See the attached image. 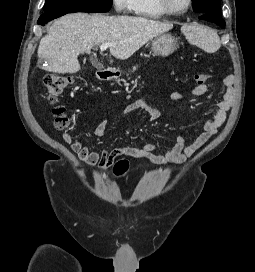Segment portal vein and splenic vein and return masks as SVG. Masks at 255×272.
<instances>
[{
    "label": "portal vein and splenic vein",
    "instance_id": "portal-vein-and-splenic-vein-1",
    "mask_svg": "<svg viewBox=\"0 0 255 272\" xmlns=\"http://www.w3.org/2000/svg\"><path fill=\"white\" fill-rule=\"evenodd\" d=\"M111 46H113L112 43H102V44L100 45V50H101V51H105L107 48H109V47H111Z\"/></svg>",
    "mask_w": 255,
    "mask_h": 272
}]
</instances>
